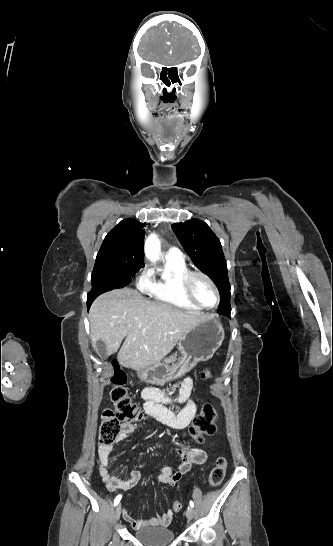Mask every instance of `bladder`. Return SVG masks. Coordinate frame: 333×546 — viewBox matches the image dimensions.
<instances>
[{
    "label": "bladder",
    "instance_id": "1",
    "mask_svg": "<svg viewBox=\"0 0 333 546\" xmlns=\"http://www.w3.org/2000/svg\"><path fill=\"white\" fill-rule=\"evenodd\" d=\"M134 536L145 546H167L174 540L175 533L167 527L150 526L136 530Z\"/></svg>",
    "mask_w": 333,
    "mask_h": 546
}]
</instances>
